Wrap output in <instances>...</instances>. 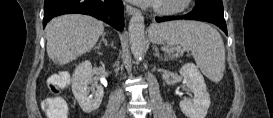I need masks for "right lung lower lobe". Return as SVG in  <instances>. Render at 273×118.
Segmentation results:
<instances>
[{
    "label": "right lung lower lobe",
    "instance_id": "1",
    "mask_svg": "<svg viewBox=\"0 0 273 118\" xmlns=\"http://www.w3.org/2000/svg\"><path fill=\"white\" fill-rule=\"evenodd\" d=\"M124 7L121 0H45L43 27L62 14L79 13L100 19L117 30L124 28Z\"/></svg>",
    "mask_w": 273,
    "mask_h": 118
}]
</instances>
